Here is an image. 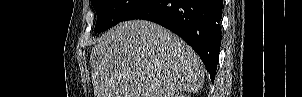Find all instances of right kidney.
<instances>
[{
    "label": "right kidney",
    "mask_w": 302,
    "mask_h": 97,
    "mask_svg": "<svg viewBox=\"0 0 302 97\" xmlns=\"http://www.w3.org/2000/svg\"><path fill=\"white\" fill-rule=\"evenodd\" d=\"M175 97H183V95H176Z\"/></svg>",
    "instance_id": "obj_1"
}]
</instances>
